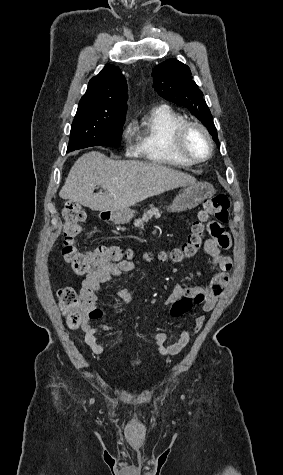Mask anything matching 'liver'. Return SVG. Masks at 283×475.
Instances as JSON below:
<instances>
[{
    "mask_svg": "<svg viewBox=\"0 0 283 475\" xmlns=\"http://www.w3.org/2000/svg\"><path fill=\"white\" fill-rule=\"evenodd\" d=\"M192 184H196V178L162 164L138 160L115 162L100 152H89L72 166L59 196L90 210L117 212ZM96 186L106 190L105 194H93Z\"/></svg>",
    "mask_w": 283,
    "mask_h": 475,
    "instance_id": "6515ba94",
    "label": "liver"
}]
</instances>
